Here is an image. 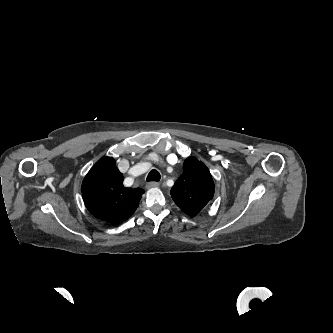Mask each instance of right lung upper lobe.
I'll return each mask as SVG.
<instances>
[{
	"instance_id": "obj_1",
	"label": "right lung upper lobe",
	"mask_w": 333,
	"mask_h": 333,
	"mask_svg": "<svg viewBox=\"0 0 333 333\" xmlns=\"http://www.w3.org/2000/svg\"><path fill=\"white\" fill-rule=\"evenodd\" d=\"M124 177L112 157L100 159L83 180L85 206L98 219L119 224L129 219L139 206L141 188H126Z\"/></svg>"
}]
</instances>
